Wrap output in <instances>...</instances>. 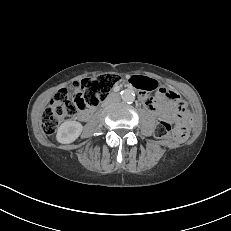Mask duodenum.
<instances>
[{
	"label": "duodenum",
	"mask_w": 231,
	"mask_h": 231,
	"mask_svg": "<svg viewBox=\"0 0 231 231\" xmlns=\"http://www.w3.org/2000/svg\"><path fill=\"white\" fill-rule=\"evenodd\" d=\"M142 101H143V103H144L145 105H148V104H149V103H148V99L145 98V97H142Z\"/></svg>",
	"instance_id": "410a0bca"
}]
</instances>
